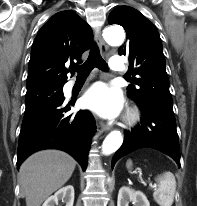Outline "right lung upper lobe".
I'll use <instances>...</instances> for the list:
<instances>
[{"mask_svg": "<svg viewBox=\"0 0 197 206\" xmlns=\"http://www.w3.org/2000/svg\"><path fill=\"white\" fill-rule=\"evenodd\" d=\"M93 33L77 14H54L38 32L31 49L27 89L63 88L67 82L66 65L81 63V55L90 48Z\"/></svg>", "mask_w": 197, "mask_h": 206, "instance_id": "obj_1", "label": "right lung upper lobe"}]
</instances>
